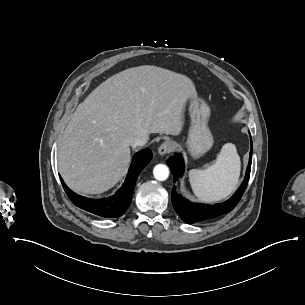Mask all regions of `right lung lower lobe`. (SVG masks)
I'll return each mask as SVG.
<instances>
[{"instance_id": "obj_1", "label": "right lung lower lobe", "mask_w": 305, "mask_h": 305, "mask_svg": "<svg viewBox=\"0 0 305 305\" xmlns=\"http://www.w3.org/2000/svg\"><path fill=\"white\" fill-rule=\"evenodd\" d=\"M151 150H143L134 155L125 183L115 195L100 200L87 199L70 190L61 179L63 188L70 200L78 207L102 217H119L128 209L138 175L151 161Z\"/></svg>"}]
</instances>
